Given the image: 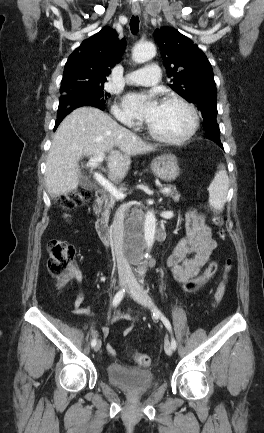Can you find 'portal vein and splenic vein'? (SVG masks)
Segmentation results:
<instances>
[{
  "mask_svg": "<svg viewBox=\"0 0 264 433\" xmlns=\"http://www.w3.org/2000/svg\"><path fill=\"white\" fill-rule=\"evenodd\" d=\"M104 160V154L100 153L95 157H91L87 163V166L91 169L97 167ZM94 179L105 188L115 199L123 200L126 195L118 190L111 182L105 179L100 173L94 172ZM162 194H166L170 192V188H162L160 190Z\"/></svg>",
  "mask_w": 264,
  "mask_h": 433,
  "instance_id": "1",
  "label": "portal vein and splenic vein"
}]
</instances>
